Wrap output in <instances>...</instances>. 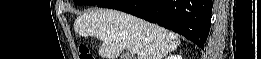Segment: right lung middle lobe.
<instances>
[{
    "mask_svg": "<svg viewBox=\"0 0 261 59\" xmlns=\"http://www.w3.org/2000/svg\"><path fill=\"white\" fill-rule=\"evenodd\" d=\"M102 0H74L77 5H97Z\"/></svg>",
    "mask_w": 261,
    "mask_h": 59,
    "instance_id": "right-lung-middle-lobe-1",
    "label": "right lung middle lobe"
}]
</instances>
